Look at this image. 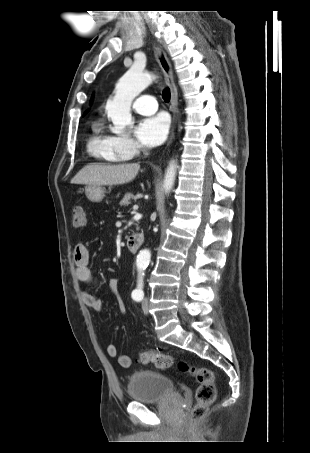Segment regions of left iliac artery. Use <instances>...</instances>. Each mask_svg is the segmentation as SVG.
I'll return each mask as SVG.
<instances>
[{"mask_svg":"<svg viewBox=\"0 0 310 453\" xmlns=\"http://www.w3.org/2000/svg\"><path fill=\"white\" fill-rule=\"evenodd\" d=\"M143 275H139L137 289L132 292V298L135 301H141L144 297L143 292Z\"/></svg>","mask_w":310,"mask_h":453,"instance_id":"left-iliac-artery-1","label":"left iliac artery"}]
</instances>
